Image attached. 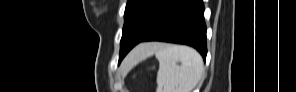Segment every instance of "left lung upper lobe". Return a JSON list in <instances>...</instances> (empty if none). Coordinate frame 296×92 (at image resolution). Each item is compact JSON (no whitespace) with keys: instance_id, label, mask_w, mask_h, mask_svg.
I'll list each match as a JSON object with an SVG mask.
<instances>
[{"instance_id":"left-lung-upper-lobe-1","label":"left lung upper lobe","mask_w":296,"mask_h":92,"mask_svg":"<svg viewBox=\"0 0 296 92\" xmlns=\"http://www.w3.org/2000/svg\"><path fill=\"white\" fill-rule=\"evenodd\" d=\"M170 0H128L120 42L119 61L153 29Z\"/></svg>"}]
</instances>
